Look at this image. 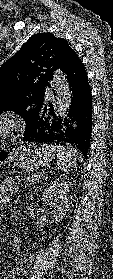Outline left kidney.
<instances>
[{"instance_id":"1","label":"left kidney","mask_w":113,"mask_h":279,"mask_svg":"<svg viewBox=\"0 0 113 279\" xmlns=\"http://www.w3.org/2000/svg\"><path fill=\"white\" fill-rule=\"evenodd\" d=\"M69 185L66 181L56 180L49 184L42 192L43 203L53 207L55 222H59L65 215L68 204Z\"/></svg>"}]
</instances>
